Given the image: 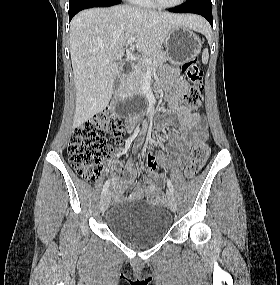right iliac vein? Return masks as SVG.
Instances as JSON below:
<instances>
[{"label": "right iliac vein", "mask_w": 280, "mask_h": 285, "mask_svg": "<svg viewBox=\"0 0 280 285\" xmlns=\"http://www.w3.org/2000/svg\"><path fill=\"white\" fill-rule=\"evenodd\" d=\"M109 202H110V193L105 192L100 201V207L102 212H105L107 210Z\"/></svg>", "instance_id": "63e3f726"}]
</instances>
